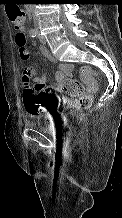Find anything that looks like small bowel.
I'll return each instance as SVG.
<instances>
[{"mask_svg":"<svg viewBox=\"0 0 122 218\" xmlns=\"http://www.w3.org/2000/svg\"><path fill=\"white\" fill-rule=\"evenodd\" d=\"M23 32L24 31H22V33ZM41 54L48 61L55 62L54 58L47 49H41ZM72 69L73 68L70 64L60 63L55 74V81L50 83V88L55 90L56 92H61L63 87L62 84L66 79H68L71 76ZM28 71L30 73V76L34 79L36 83L37 89L34 96V101L37 108L40 111L39 113H42L44 107L48 104L49 99V92L45 89L46 74L42 75L41 77H36V71L34 68H30ZM63 100L68 104L72 103V101L67 98H64Z\"/></svg>","mask_w":122,"mask_h":218,"instance_id":"obj_1","label":"small bowel"}]
</instances>
